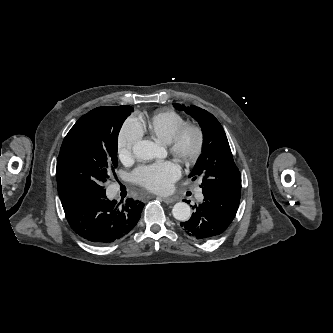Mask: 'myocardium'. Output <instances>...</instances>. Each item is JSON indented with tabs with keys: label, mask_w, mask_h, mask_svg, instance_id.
Listing matches in <instances>:
<instances>
[{
	"label": "myocardium",
	"mask_w": 333,
	"mask_h": 333,
	"mask_svg": "<svg viewBox=\"0 0 333 333\" xmlns=\"http://www.w3.org/2000/svg\"><path fill=\"white\" fill-rule=\"evenodd\" d=\"M191 142H188V139ZM170 144L171 153L186 165H192L201 157L205 146L203 129L195 123H184L180 126Z\"/></svg>",
	"instance_id": "myocardium-1"
}]
</instances>
